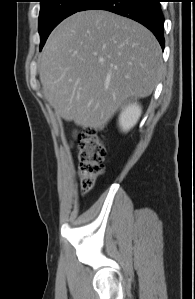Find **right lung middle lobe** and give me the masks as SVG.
I'll return each instance as SVG.
<instances>
[{"instance_id":"obj_1","label":"right lung middle lobe","mask_w":195,"mask_h":299,"mask_svg":"<svg viewBox=\"0 0 195 299\" xmlns=\"http://www.w3.org/2000/svg\"><path fill=\"white\" fill-rule=\"evenodd\" d=\"M88 0H40L39 34L42 49L53 28L63 19L79 11Z\"/></svg>"}]
</instances>
